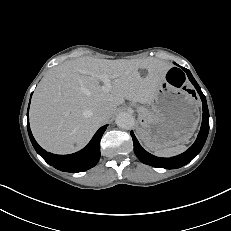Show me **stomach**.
Instances as JSON below:
<instances>
[{
  "mask_svg": "<svg viewBox=\"0 0 231 231\" xmlns=\"http://www.w3.org/2000/svg\"><path fill=\"white\" fill-rule=\"evenodd\" d=\"M149 105L137 107L140 136L149 149L185 143L195 132L199 103L192 92L171 82L166 74Z\"/></svg>",
  "mask_w": 231,
  "mask_h": 231,
  "instance_id": "0dacf381",
  "label": "stomach"
}]
</instances>
